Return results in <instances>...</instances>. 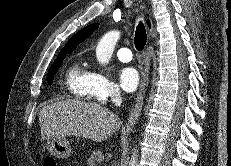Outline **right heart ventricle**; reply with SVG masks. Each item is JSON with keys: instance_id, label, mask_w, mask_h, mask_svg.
I'll return each mask as SVG.
<instances>
[{"instance_id": "1", "label": "right heart ventricle", "mask_w": 231, "mask_h": 166, "mask_svg": "<svg viewBox=\"0 0 231 166\" xmlns=\"http://www.w3.org/2000/svg\"><path fill=\"white\" fill-rule=\"evenodd\" d=\"M89 71L80 62L73 63L66 75V85L69 92L78 99L88 96Z\"/></svg>"}]
</instances>
